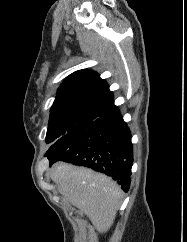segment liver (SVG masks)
I'll return each instance as SVG.
<instances>
[{
  "mask_svg": "<svg viewBox=\"0 0 187 242\" xmlns=\"http://www.w3.org/2000/svg\"><path fill=\"white\" fill-rule=\"evenodd\" d=\"M50 177L64 200L82 211L100 233L112 226L121 191L111 178L88 168L55 163Z\"/></svg>",
  "mask_w": 187,
  "mask_h": 242,
  "instance_id": "1",
  "label": "liver"
}]
</instances>
